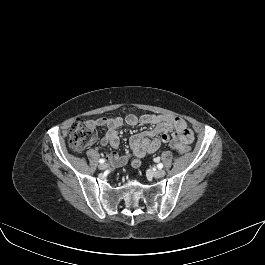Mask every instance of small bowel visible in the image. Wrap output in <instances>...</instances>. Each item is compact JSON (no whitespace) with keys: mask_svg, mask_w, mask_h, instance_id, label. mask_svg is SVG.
Returning a JSON list of instances; mask_svg holds the SVG:
<instances>
[{"mask_svg":"<svg viewBox=\"0 0 265 265\" xmlns=\"http://www.w3.org/2000/svg\"><path fill=\"white\" fill-rule=\"evenodd\" d=\"M124 122L129 126L144 124L153 125L154 128L151 131L131 135L129 143L133 156L119 157L115 153L112 154L111 161L114 166L124 165L130 160L132 166L138 168L141 166V158L157 151L162 143L169 142L171 144L173 140H179L190 144L194 139L193 132L188 128L187 123L182 118L167 114H146L140 117L129 114L125 120L121 117H101L89 121L93 126L107 128L106 134L101 139V145H109L114 149H117L120 145L117 130Z\"/></svg>","mask_w":265,"mask_h":265,"instance_id":"small-bowel-1","label":"small bowel"}]
</instances>
